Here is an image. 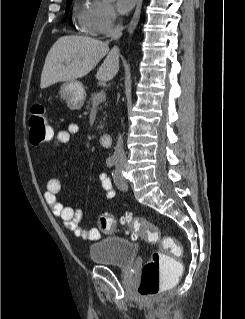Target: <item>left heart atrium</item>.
<instances>
[{
	"label": "left heart atrium",
	"instance_id": "1",
	"mask_svg": "<svg viewBox=\"0 0 245 319\" xmlns=\"http://www.w3.org/2000/svg\"><path fill=\"white\" fill-rule=\"evenodd\" d=\"M136 0H116V6L120 13H128L134 6Z\"/></svg>",
	"mask_w": 245,
	"mask_h": 319
}]
</instances>
